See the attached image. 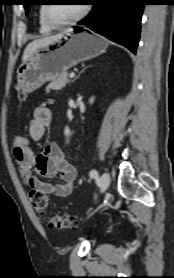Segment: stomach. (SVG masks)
Here are the masks:
<instances>
[{
    "label": "stomach",
    "mask_w": 174,
    "mask_h": 278,
    "mask_svg": "<svg viewBox=\"0 0 174 278\" xmlns=\"http://www.w3.org/2000/svg\"><path fill=\"white\" fill-rule=\"evenodd\" d=\"M107 47L108 41L100 35L86 30L65 32L22 62L17 70V89L23 95L30 93L74 65L99 56Z\"/></svg>",
    "instance_id": "0dacf381"
}]
</instances>
